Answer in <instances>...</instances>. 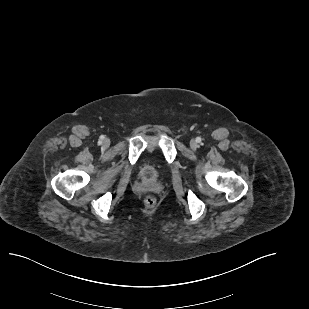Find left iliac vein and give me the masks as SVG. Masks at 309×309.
I'll list each match as a JSON object with an SVG mask.
<instances>
[{
  "label": "left iliac vein",
  "mask_w": 309,
  "mask_h": 309,
  "mask_svg": "<svg viewBox=\"0 0 309 309\" xmlns=\"http://www.w3.org/2000/svg\"><path fill=\"white\" fill-rule=\"evenodd\" d=\"M190 147H191V149L196 150L197 147H198L197 142L195 140H191L190 141Z\"/></svg>",
  "instance_id": "4c4485c4"
}]
</instances>
